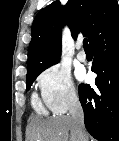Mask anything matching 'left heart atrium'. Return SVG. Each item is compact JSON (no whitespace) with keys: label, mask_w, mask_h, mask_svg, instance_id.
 I'll use <instances>...</instances> for the list:
<instances>
[{"label":"left heart atrium","mask_w":119,"mask_h":141,"mask_svg":"<svg viewBox=\"0 0 119 141\" xmlns=\"http://www.w3.org/2000/svg\"><path fill=\"white\" fill-rule=\"evenodd\" d=\"M79 78L83 79L84 78V74L83 73H79Z\"/></svg>","instance_id":"1"}]
</instances>
